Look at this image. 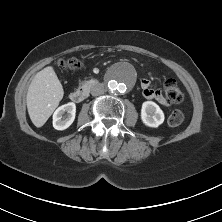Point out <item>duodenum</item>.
Segmentation results:
<instances>
[{"label":"duodenum","instance_id":"duodenum-1","mask_svg":"<svg viewBox=\"0 0 222 222\" xmlns=\"http://www.w3.org/2000/svg\"><path fill=\"white\" fill-rule=\"evenodd\" d=\"M97 84H98V81L96 79L89 80L87 83L82 85L80 88L71 92L70 99L76 103H80V102L84 101L87 98V96L89 95L90 90L94 86H96Z\"/></svg>","mask_w":222,"mask_h":222}]
</instances>
